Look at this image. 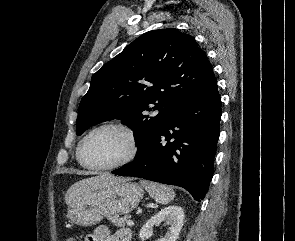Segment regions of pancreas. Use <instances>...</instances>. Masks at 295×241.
Segmentation results:
<instances>
[{
	"label": "pancreas",
	"mask_w": 295,
	"mask_h": 241,
	"mask_svg": "<svg viewBox=\"0 0 295 241\" xmlns=\"http://www.w3.org/2000/svg\"><path fill=\"white\" fill-rule=\"evenodd\" d=\"M111 222L117 227H125L127 223L126 217H119L117 215L109 216Z\"/></svg>",
	"instance_id": "1"
}]
</instances>
